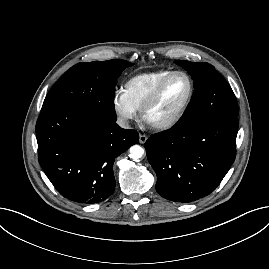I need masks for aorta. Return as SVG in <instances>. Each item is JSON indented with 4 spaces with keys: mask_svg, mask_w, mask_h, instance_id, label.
I'll use <instances>...</instances> for the list:
<instances>
[{
    "mask_svg": "<svg viewBox=\"0 0 269 269\" xmlns=\"http://www.w3.org/2000/svg\"><path fill=\"white\" fill-rule=\"evenodd\" d=\"M129 153V157L132 160L137 161L144 155V149L139 145H133L130 147Z\"/></svg>",
    "mask_w": 269,
    "mask_h": 269,
    "instance_id": "obj_1",
    "label": "aorta"
}]
</instances>
